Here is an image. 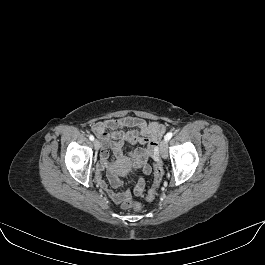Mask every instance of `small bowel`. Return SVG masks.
I'll return each instance as SVG.
<instances>
[{"mask_svg": "<svg viewBox=\"0 0 265 265\" xmlns=\"http://www.w3.org/2000/svg\"><path fill=\"white\" fill-rule=\"evenodd\" d=\"M92 131L103 142L97 169V181L100 187L116 203L130 199L129 191L116 193L108 187L101 177V172L108 167L109 149H111L120 162L142 171L143 175L137 179L133 188L134 195H142L146 184L145 176L149 175L152 170L148 160L159 158L158 142L165 132L164 126L158 122H149L142 118L123 116L98 121L92 125ZM136 144L140 147L129 153L124 151L125 145ZM110 182L114 187L121 184L119 177L112 168H110Z\"/></svg>", "mask_w": 265, "mask_h": 265, "instance_id": "small-bowel-1", "label": "small bowel"}]
</instances>
